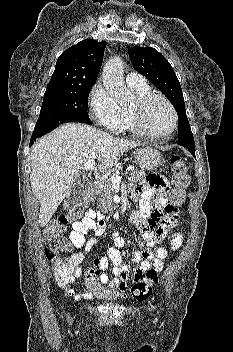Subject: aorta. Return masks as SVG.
Returning a JSON list of instances; mask_svg holds the SVG:
<instances>
[{"mask_svg":"<svg viewBox=\"0 0 233 352\" xmlns=\"http://www.w3.org/2000/svg\"><path fill=\"white\" fill-rule=\"evenodd\" d=\"M103 85L120 104L129 103L133 96L123 78V62L119 57L110 58L103 68Z\"/></svg>","mask_w":233,"mask_h":352,"instance_id":"762f6f07","label":"aorta"}]
</instances>
